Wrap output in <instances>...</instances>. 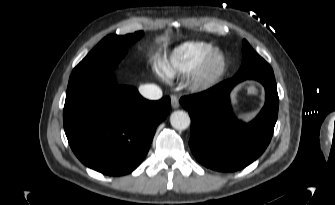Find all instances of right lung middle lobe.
<instances>
[{
  "label": "right lung middle lobe",
  "instance_id": "1",
  "mask_svg": "<svg viewBox=\"0 0 335 205\" xmlns=\"http://www.w3.org/2000/svg\"><path fill=\"white\" fill-rule=\"evenodd\" d=\"M138 31L125 36L108 35L73 69L69 84L100 71L113 69L126 54L127 48L143 36Z\"/></svg>",
  "mask_w": 335,
  "mask_h": 205
}]
</instances>
